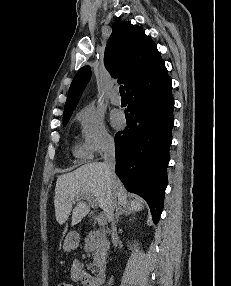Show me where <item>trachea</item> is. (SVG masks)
<instances>
[{
  "mask_svg": "<svg viewBox=\"0 0 231 286\" xmlns=\"http://www.w3.org/2000/svg\"><path fill=\"white\" fill-rule=\"evenodd\" d=\"M119 91H120V94H121V95H125V91H124L123 85H121V86L119 87Z\"/></svg>",
  "mask_w": 231,
  "mask_h": 286,
  "instance_id": "1",
  "label": "trachea"
}]
</instances>
